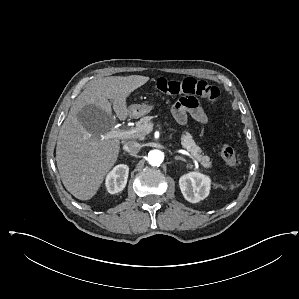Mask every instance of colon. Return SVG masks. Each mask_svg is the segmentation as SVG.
<instances>
[{
    "label": "colon",
    "instance_id": "obj_1",
    "mask_svg": "<svg viewBox=\"0 0 299 299\" xmlns=\"http://www.w3.org/2000/svg\"><path fill=\"white\" fill-rule=\"evenodd\" d=\"M155 89L167 95H182L184 97L200 96L211 102H216L220 96V91L217 87L204 80L194 78H185L183 80L159 78L155 83ZM221 156L229 166H236V153L230 144L225 143L222 145Z\"/></svg>",
    "mask_w": 299,
    "mask_h": 299
}]
</instances>
